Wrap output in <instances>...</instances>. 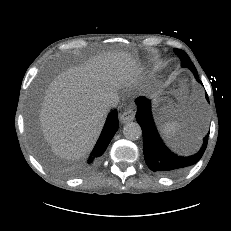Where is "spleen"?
Masks as SVG:
<instances>
[{"instance_id": "1", "label": "spleen", "mask_w": 231, "mask_h": 231, "mask_svg": "<svg viewBox=\"0 0 231 231\" xmlns=\"http://www.w3.org/2000/svg\"><path fill=\"white\" fill-rule=\"evenodd\" d=\"M180 128V123L178 121L166 122L160 126V132L166 139H169L174 135Z\"/></svg>"}]
</instances>
